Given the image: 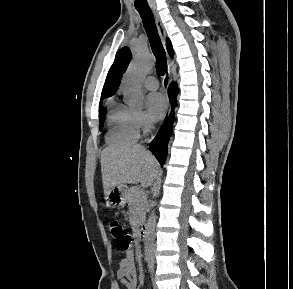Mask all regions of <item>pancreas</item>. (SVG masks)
Masks as SVG:
<instances>
[{"label": "pancreas", "instance_id": "1", "mask_svg": "<svg viewBox=\"0 0 293 289\" xmlns=\"http://www.w3.org/2000/svg\"><path fill=\"white\" fill-rule=\"evenodd\" d=\"M146 197L138 187H132L127 193L129 211L134 213V220L140 226L145 218L144 205Z\"/></svg>", "mask_w": 293, "mask_h": 289}]
</instances>
